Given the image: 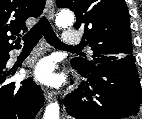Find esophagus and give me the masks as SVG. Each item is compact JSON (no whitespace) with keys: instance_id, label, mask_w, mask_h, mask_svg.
<instances>
[{"instance_id":"1","label":"esophagus","mask_w":142,"mask_h":119,"mask_svg":"<svg viewBox=\"0 0 142 119\" xmlns=\"http://www.w3.org/2000/svg\"><path fill=\"white\" fill-rule=\"evenodd\" d=\"M45 12L49 20H52L54 17V2L53 0H46ZM44 96L48 101H51L55 95L54 91L43 88Z\"/></svg>"}]
</instances>
